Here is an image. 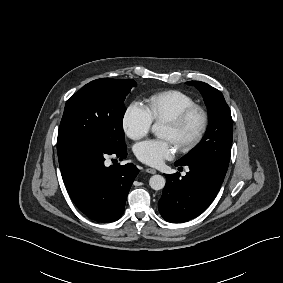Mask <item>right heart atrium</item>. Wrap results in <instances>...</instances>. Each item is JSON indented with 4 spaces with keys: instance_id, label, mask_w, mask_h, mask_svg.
Returning a JSON list of instances; mask_svg holds the SVG:
<instances>
[{
    "instance_id": "1",
    "label": "right heart atrium",
    "mask_w": 283,
    "mask_h": 283,
    "mask_svg": "<svg viewBox=\"0 0 283 283\" xmlns=\"http://www.w3.org/2000/svg\"><path fill=\"white\" fill-rule=\"evenodd\" d=\"M152 123L146 107L140 101L131 102L124 111L122 126L126 135L133 140L148 134Z\"/></svg>"
}]
</instances>
